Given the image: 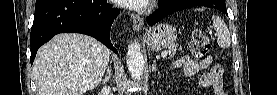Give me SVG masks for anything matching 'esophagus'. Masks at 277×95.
<instances>
[{
    "instance_id": "esophagus-1",
    "label": "esophagus",
    "mask_w": 277,
    "mask_h": 95,
    "mask_svg": "<svg viewBox=\"0 0 277 95\" xmlns=\"http://www.w3.org/2000/svg\"><path fill=\"white\" fill-rule=\"evenodd\" d=\"M132 20H133V28L136 31H140L144 25L143 19L137 15V14H133L132 15Z\"/></svg>"
}]
</instances>
